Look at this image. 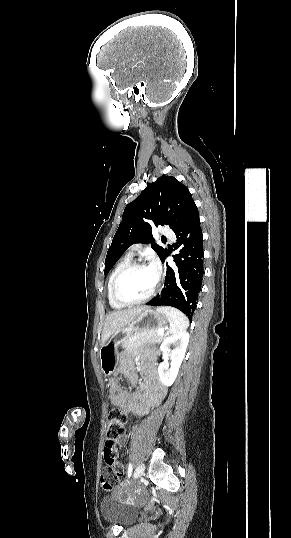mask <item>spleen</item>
I'll list each match as a JSON object with an SVG mask.
<instances>
[{
    "instance_id": "3e777b00",
    "label": "spleen",
    "mask_w": 291,
    "mask_h": 538,
    "mask_svg": "<svg viewBox=\"0 0 291 538\" xmlns=\"http://www.w3.org/2000/svg\"><path fill=\"white\" fill-rule=\"evenodd\" d=\"M157 311L163 313L170 322L169 332L172 334H178L185 331L189 326V320L187 316L180 310L169 307L161 306L157 308Z\"/></svg>"
}]
</instances>
